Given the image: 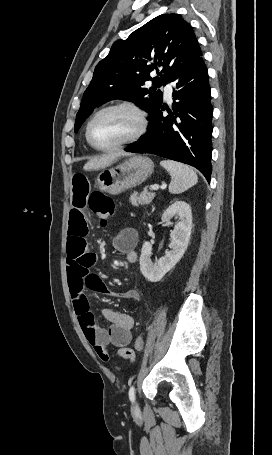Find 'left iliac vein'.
<instances>
[{
    "label": "left iliac vein",
    "instance_id": "left-iliac-vein-1",
    "mask_svg": "<svg viewBox=\"0 0 272 455\" xmlns=\"http://www.w3.org/2000/svg\"><path fill=\"white\" fill-rule=\"evenodd\" d=\"M139 410L138 404L135 402L132 406V411L136 413Z\"/></svg>",
    "mask_w": 272,
    "mask_h": 455
}]
</instances>
